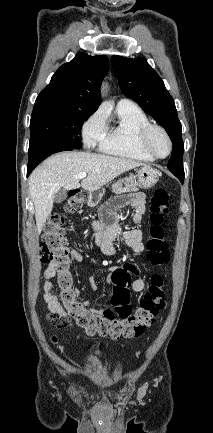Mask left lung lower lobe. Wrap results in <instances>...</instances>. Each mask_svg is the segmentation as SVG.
I'll return each mask as SVG.
<instances>
[{
	"instance_id": "obj_1",
	"label": "left lung lower lobe",
	"mask_w": 213,
	"mask_h": 433,
	"mask_svg": "<svg viewBox=\"0 0 213 433\" xmlns=\"http://www.w3.org/2000/svg\"><path fill=\"white\" fill-rule=\"evenodd\" d=\"M178 177V179L180 180V182L183 184V182H184V177H181V176H177Z\"/></svg>"
}]
</instances>
